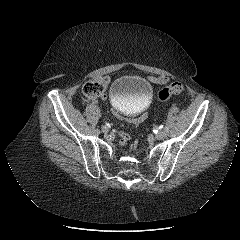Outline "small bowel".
Returning a JSON list of instances; mask_svg holds the SVG:
<instances>
[{
    "label": "small bowel",
    "mask_w": 240,
    "mask_h": 240,
    "mask_svg": "<svg viewBox=\"0 0 240 240\" xmlns=\"http://www.w3.org/2000/svg\"><path fill=\"white\" fill-rule=\"evenodd\" d=\"M148 79L154 85H163V84L167 83V81H168V77L165 76V75H160L158 77H149ZM101 99L102 100H107L108 99V94L107 93H102L101 94ZM110 112L112 113V118L117 123L122 124V125L138 127V126H141L144 123H146L147 120H148V115L147 114H142L138 119L124 118L122 116V113L118 109H116L115 107H112L110 109ZM115 131L118 135H121L120 144L125 145L129 141L130 136L127 133H123V130L120 126H117L115 128Z\"/></svg>",
    "instance_id": "obj_1"
}]
</instances>
